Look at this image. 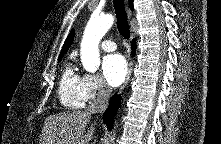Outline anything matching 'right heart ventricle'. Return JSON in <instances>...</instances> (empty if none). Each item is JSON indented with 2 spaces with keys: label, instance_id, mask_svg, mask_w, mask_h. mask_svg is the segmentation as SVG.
Wrapping results in <instances>:
<instances>
[{
  "label": "right heart ventricle",
  "instance_id": "right-heart-ventricle-1",
  "mask_svg": "<svg viewBox=\"0 0 221 144\" xmlns=\"http://www.w3.org/2000/svg\"><path fill=\"white\" fill-rule=\"evenodd\" d=\"M83 76L79 75L72 63H68L61 75L58 95L61 104L70 109H80L85 106L82 91Z\"/></svg>",
  "mask_w": 221,
  "mask_h": 144
}]
</instances>
